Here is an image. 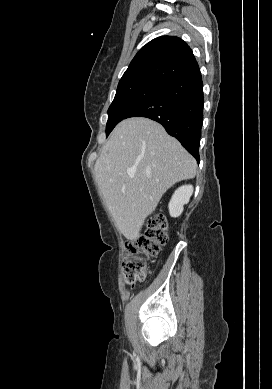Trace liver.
<instances>
[{
    "mask_svg": "<svg viewBox=\"0 0 272 389\" xmlns=\"http://www.w3.org/2000/svg\"><path fill=\"white\" fill-rule=\"evenodd\" d=\"M94 171L118 230L135 240L163 194L196 176L197 163L159 123L133 117L112 131Z\"/></svg>",
    "mask_w": 272,
    "mask_h": 389,
    "instance_id": "6515ba94",
    "label": "liver"
}]
</instances>
